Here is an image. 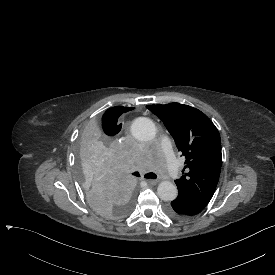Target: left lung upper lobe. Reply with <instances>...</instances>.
I'll list each match as a JSON object with an SVG mask.
<instances>
[{
    "instance_id": "left-lung-upper-lobe-1",
    "label": "left lung upper lobe",
    "mask_w": 275,
    "mask_h": 275,
    "mask_svg": "<svg viewBox=\"0 0 275 275\" xmlns=\"http://www.w3.org/2000/svg\"><path fill=\"white\" fill-rule=\"evenodd\" d=\"M146 107L163 121L186 158L183 176L175 180L178 195L207 205L215 192L222 164L217 128L205 114L188 105L170 103Z\"/></svg>"
}]
</instances>
